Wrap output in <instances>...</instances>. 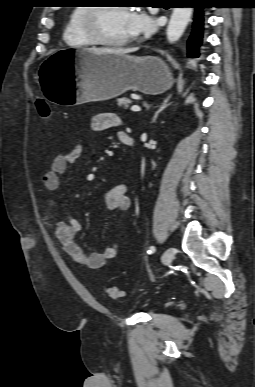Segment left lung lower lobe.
<instances>
[{
	"instance_id": "obj_1",
	"label": "left lung lower lobe",
	"mask_w": 255,
	"mask_h": 387,
	"mask_svg": "<svg viewBox=\"0 0 255 387\" xmlns=\"http://www.w3.org/2000/svg\"><path fill=\"white\" fill-rule=\"evenodd\" d=\"M185 3L192 4L195 7V18L193 22L192 33L187 41L188 57L198 58L200 56V47L203 45L204 31V11L207 7L206 0H186Z\"/></svg>"
}]
</instances>
